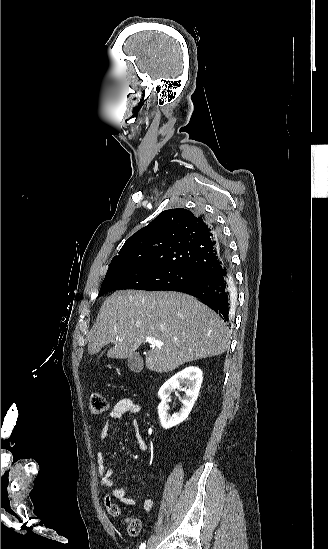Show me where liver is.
Wrapping results in <instances>:
<instances>
[{
  "label": "liver",
  "mask_w": 328,
  "mask_h": 549,
  "mask_svg": "<svg viewBox=\"0 0 328 549\" xmlns=\"http://www.w3.org/2000/svg\"><path fill=\"white\" fill-rule=\"evenodd\" d=\"M148 339L164 343L150 345L146 355L147 369L157 373L222 355L230 345L224 321L195 297L174 291H116L104 301L89 333L88 353L96 355L112 343L107 357L128 359Z\"/></svg>",
  "instance_id": "6515ba94"
}]
</instances>
